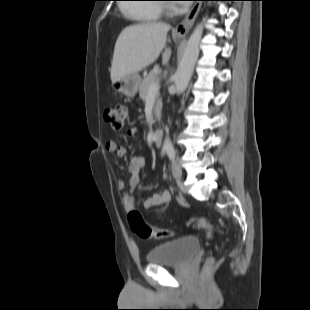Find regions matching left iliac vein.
Instances as JSON below:
<instances>
[{
	"mask_svg": "<svg viewBox=\"0 0 310 310\" xmlns=\"http://www.w3.org/2000/svg\"><path fill=\"white\" fill-rule=\"evenodd\" d=\"M172 174L176 181H181L182 179V169L177 162L172 163Z\"/></svg>",
	"mask_w": 310,
	"mask_h": 310,
	"instance_id": "obj_1",
	"label": "left iliac vein"
}]
</instances>
